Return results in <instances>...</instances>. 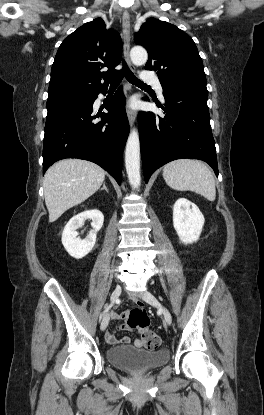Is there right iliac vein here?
<instances>
[{
    "mask_svg": "<svg viewBox=\"0 0 264 415\" xmlns=\"http://www.w3.org/2000/svg\"><path fill=\"white\" fill-rule=\"evenodd\" d=\"M121 292H122L121 286H117L111 295V301L115 302L120 297ZM108 323H109V313H107L102 319V322L100 325V328L102 331L106 329V327L108 326Z\"/></svg>",
    "mask_w": 264,
    "mask_h": 415,
    "instance_id": "63e3f726",
    "label": "right iliac vein"
}]
</instances>
